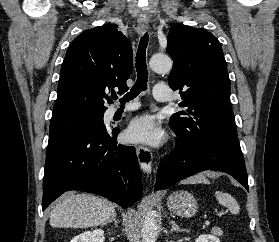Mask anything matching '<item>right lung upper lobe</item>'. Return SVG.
Wrapping results in <instances>:
<instances>
[{
	"label": "right lung upper lobe",
	"mask_w": 279,
	"mask_h": 242,
	"mask_svg": "<svg viewBox=\"0 0 279 242\" xmlns=\"http://www.w3.org/2000/svg\"><path fill=\"white\" fill-rule=\"evenodd\" d=\"M133 68L129 40L112 26L81 33L70 44L60 72L53 116L77 112H105L110 89L127 91Z\"/></svg>",
	"instance_id": "cb5924a9"
}]
</instances>
